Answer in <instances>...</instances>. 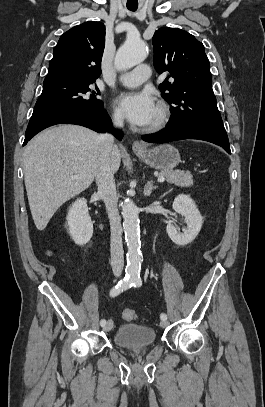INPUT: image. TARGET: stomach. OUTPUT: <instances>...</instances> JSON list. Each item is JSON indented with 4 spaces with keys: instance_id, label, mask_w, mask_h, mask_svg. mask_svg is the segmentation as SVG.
I'll return each mask as SVG.
<instances>
[{
    "instance_id": "0dacf381",
    "label": "stomach",
    "mask_w": 265,
    "mask_h": 407,
    "mask_svg": "<svg viewBox=\"0 0 265 407\" xmlns=\"http://www.w3.org/2000/svg\"><path fill=\"white\" fill-rule=\"evenodd\" d=\"M148 166L161 170H173L180 163L179 151L170 144H162L149 150L135 151Z\"/></svg>"
}]
</instances>
